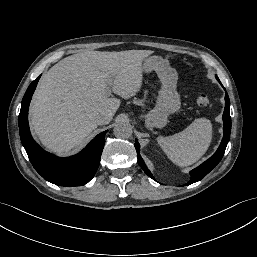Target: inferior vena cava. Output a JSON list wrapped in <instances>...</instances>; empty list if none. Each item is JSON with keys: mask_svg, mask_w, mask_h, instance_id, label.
I'll return each instance as SVG.
<instances>
[{"mask_svg": "<svg viewBox=\"0 0 257 257\" xmlns=\"http://www.w3.org/2000/svg\"><path fill=\"white\" fill-rule=\"evenodd\" d=\"M110 120H111V115L110 114H102V115H98L96 117V123L98 125L107 124Z\"/></svg>", "mask_w": 257, "mask_h": 257, "instance_id": "inferior-vena-cava-1", "label": "inferior vena cava"}]
</instances>
